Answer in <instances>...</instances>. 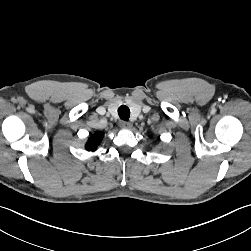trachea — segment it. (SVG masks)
I'll return each instance as SVG.
<instances>
[{
  "label": "trachea",
  "mask_w": 251,
  "mask_h": 251,
  "mask_svg": "<svg viewBox=\"0 0 251 251\" xmlns=\"http://www.w3.org/2000/svg\"><path fill=\"white\" fill-rule=\"evenodd\" d=\"M118 114L122 120L128 121L130 117V109L126 105H122L118 108Z\"/></svg>",
  "instance_id": "3493384b"
}]
</instances>
